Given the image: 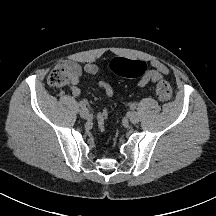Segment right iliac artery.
Listing matches in <instances>:
<instances>
[{"label":"right iliac artery","mask_w":216,"mask_h":216,"mask_svg":"<svg viewBox=\"0 0 216 216\" xmlns=\"http://www.w3.org/2000/svg\"><path fill=\"white\" fill-rule=\"evenodd\" d=\"M86 105H87L86 101H80L79 102V106L82 107V108L86 107Z\"/></svg>","instance_id":"1"}]
</instances>
